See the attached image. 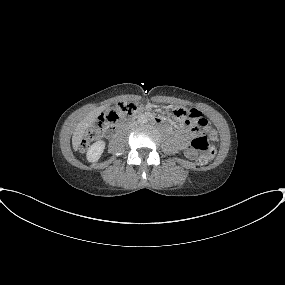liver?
<instances>
[{
	"mask_svg": "<svg viewBox=\"0 0 285 285\" xmlns=\"http://www.w3.org/2000/svg\"><path fill=\"white\" fill-rule=\"evenodd\" d=\"M105 108L106 106L97 107L88 113L80 123H78L72 136V146L75 151L79 148L86 130L96 122L97 117Z\"/></svg>",
	"mask_w": 285,
	"mask_h": 285,
	"instance_id": "obj_1",
	"label": "liver"
}]
</instances>
